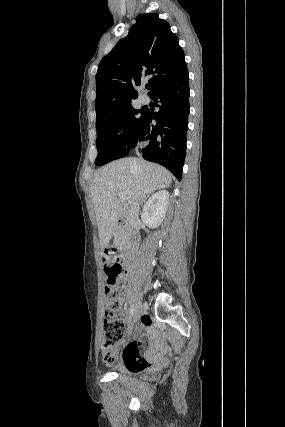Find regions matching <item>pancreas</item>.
<instances>
[{
  "label": "pancreas",
  "instance_id": "1",
  "mask_svg": "<svg viewBox=\"0 0 285 427\" xmlns=\"http://www.w3.org/2000/svg\"><path fill=\"white\" fill-rule=\"evenodd\" d=\"M118 245H119V246H122V243L120 242Z\"/></svg>",
  "mask_w": 285,
  "mask_h": 427
}]
</instances>
